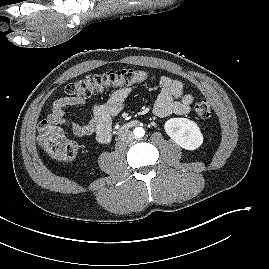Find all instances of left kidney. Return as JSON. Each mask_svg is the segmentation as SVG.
I'll return each instance as SVG.
<instances>
[{
    "label": "left kidney",
    "instance_id": "obj_1",
    "mask_svg": "<svg viewBox=\"0 0 269 269\" xmlns=\"http://www.w3.org/2000/svg\"><path fill=\"white\" fill-rule=\"evenodd\" d=\"M164 129L173 141L186 150H195L203 144L200 128L187 118H171L165 122Z\"/></svg>",
    "mask_w": 269,
    "mask_h": 269
}]
</instances>
